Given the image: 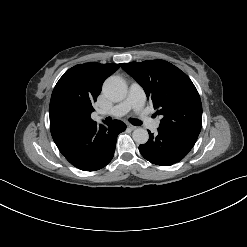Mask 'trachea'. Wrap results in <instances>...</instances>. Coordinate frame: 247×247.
<instances>
[{
  "label": "trachea",
  "instance_id": "trachea-1",
  "mask_svg": "<svg viewBox=\"0 0 247 247\" xmlns=\"http://www.w3.org/2000/svg\"><path fill=\"white\" fill-rule=\"evenodd\" d=\"M131 124L137 126V125H141V121L138 119H130Z\"/></svg>",
  "mask_w": 247,
  "mask_h": 247
}]
</instances>
